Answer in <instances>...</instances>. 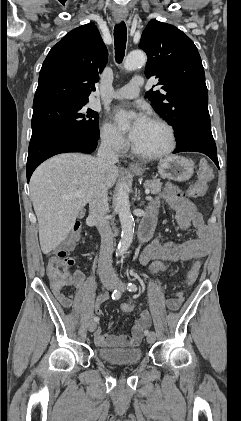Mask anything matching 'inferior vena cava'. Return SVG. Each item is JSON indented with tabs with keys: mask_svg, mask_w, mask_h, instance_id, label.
I'll return each instance as SVG.
<instances>
[{
	"mask_svg": "<svg viewBox=\"0 0 241 421\" xmlns=\"http://www.w3.org/2000/svg\"><path fill=\"white\" fill-rule=\"evenodd\" d=\"M97 163L101 171L118 162V156L108 140H103L97 153ZM108 207V190L104 184L98 187L89 201V217L95 222V225L101 236V247L98 261V270L101 278L113 277L112 253H113V234L106 214Z\"/></svg>",
	"mask_w": 241,
	"mask_h": 421,
	"instance_id": "602c4592",
	"label": "inferior vena cava"
}]
</instances>
